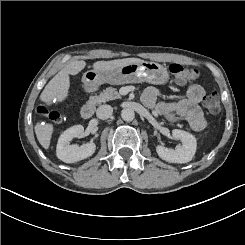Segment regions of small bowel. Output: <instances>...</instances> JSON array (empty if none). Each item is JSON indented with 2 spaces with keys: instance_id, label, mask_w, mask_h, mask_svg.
<instances>
[{
  "instance_id": "1",
  "label": "small bowel",
  "mask_w": 245,
  "mask_h": 245,
  "mask_svg": "<svg viewBox=\"0 0 245 245\" xmlns=\"http://www.w3.org/2000/svg\"><path fill=\"white\" fill-rule=\"evenodd\" d=\"M160 96L158 89L149 87L143 93L142 99L147 107L171 122L186 121L194 131H202L206 127L207 120L199 106L205 96V90L201 85L189 86L185 97L177 102L163 101Z\"/></svg>"
}]
</instances>
